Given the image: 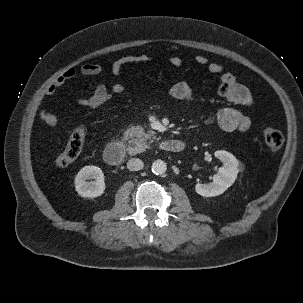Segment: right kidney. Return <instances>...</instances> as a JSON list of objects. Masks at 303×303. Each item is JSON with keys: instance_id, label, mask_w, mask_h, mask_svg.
<instances>
[{"instance_id": "obj_1", "label": "right kidney", "mask_w": 303, "mask_h": 303, "mask_svg": "<svg viewBox=\"0 0 303 303\" xmlns=\"http://www.w3.org/2000/svg\"><path fill=\"white\" fill-rule=\"evenodd\" d=\"M90 179L95 181L87 182ZM75 189L82 197L95 198L101 196L105 190L102 170L97 166L83 167L75 177Z\"/></svg>"}]
</instances>
